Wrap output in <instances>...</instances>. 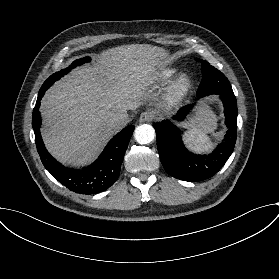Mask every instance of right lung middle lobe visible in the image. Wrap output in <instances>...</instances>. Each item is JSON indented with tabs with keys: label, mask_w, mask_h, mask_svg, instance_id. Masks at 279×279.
<instances>
[{
	"label": "right lung middle lobe",
	"mask_w": 279,
	"mask_h": 279,
	"mask_svg": "<svg viewBox=\"0 0 279 279\" xmlns=\"http://www.w3.org/2000/svg\"><path fill=\"white\" fill-rule=\"evenodd\" d=\"M90 61L89 57H85V58H81L78 60H75L68 68L63 69L59 72L54 73L52 76H50L45 82H44V86H46L47 88H49L56 80H58L60 77H62L63 75H65L66 73H68L72 68L81 65L85 62Z\"/></svg>",
	"instance_id": "1"
}]
</instances>
